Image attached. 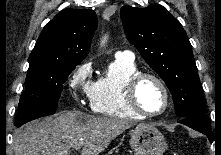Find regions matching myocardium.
Here are the masks:
<instances>
[{"label": "myocardium", "mask_w": 221, "mask_h": 155, "mask_svg": "<svg viewBox=\"0 0 221 155\" xmlns=\"http://www.w3.org/2000/svg\"><path fill=\"white\" fill-rule=\"evenodd\" d=\"M144 79H151V80L155 81L159 85V87L161 88V90L163 92L164 106L158 112H148V111L144 110L138 101V97H137L138 88ZM125 98H126V102H127L128 106L130 107V109L132 111H134L135 113H137L138 115L143 116V117L160 116L167 111V109L169 108V104H170V94H169V90H168L166 84L159 76H157L156 74L151 73V72H137L136 74H134L128 80V82L125 86Z\"/></svg>", "instance_id": "obj_1"}]
</instances>
